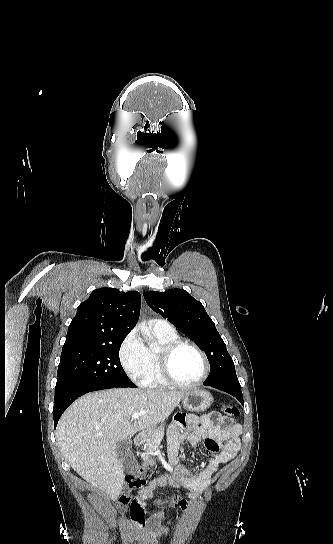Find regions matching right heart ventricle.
I'll return each mask as SVG.
<instances>
[{"mask_svg":"<svg viewBox=\"0 0 333 544\" xmlns=\"http://www.w3.org/2000/svg\"><path fill=\"white\" fill-rule=\"evenodd\" d=\"M159 346H145V369L140 381L141 386L146 388H165L169 384L162 378L158 365V352L161 346L179 340L177 332L172 330H159L152 328Z\"/></svg>","mask_w":333,"mask_h":544,"instance_id":"obj_1","label":"right heart ventricle"}]
</instances>
